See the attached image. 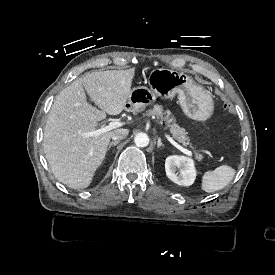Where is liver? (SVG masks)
<instances>
[{
  "instance_id": "6515ba94",
  "label": "liver",
  "mask_w": 275,
  "mask_h": 275,
  "mask_svg": "<svg viewBox=\"0 0 275 275\" xmlns=\"http://www.w3.org/2000/svg\"><path fill=\"white\" fill-rule=\"evenodd\" d=\"M136 70L92 72L56 97L44 133V153L54 176L73 189H85L102 166L114 131L84 137L99 121L125 110ZM103 111L87 102V94Z\"/></svg>"
}]
</instances>
